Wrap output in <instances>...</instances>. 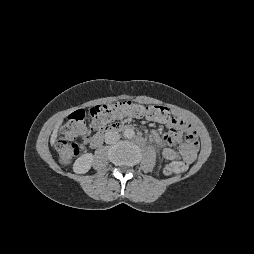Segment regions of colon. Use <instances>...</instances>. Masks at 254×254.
<instances>
[{
    "label": "colon",
    "instance_id": "obj_1",
    "mask_svg": "<svg viewBox=\"0 0 254 254\" xmlns=\"http://www.w3.org/2000/svg\"><path fill=\"white\" fill-rule=\"evenodd\" d=\"M167 110L158 105H148L122 101L112 104H100L89 110V123L83 111L72 113L61 127V136L56 142V150L63 164H69L79 154L82 143L91 130L101 131L126 116L161 120L166 118ZM187 165L180 161H166L164 173L180 174Z\"/></svg>",
    "mask_w": 254,
    "mask_h": 254
}]
</instances>
